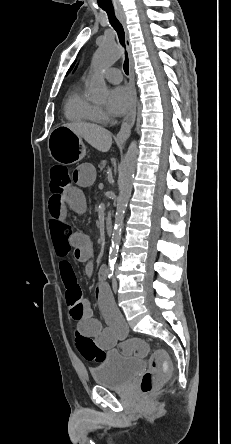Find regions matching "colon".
<instances>
[{
  "instance_id": "5ec220e1",
  "label": "colon",
  "mask_w": 231,
  "mask_h": 444,
  "mask_svg": "<svg viewBox=\"0 0 231 444\" xmlns=\"http://www.w3.org/2000/svg\"><path fill=\"white\" fill-rule=\"evenodd\" d=\"M72 180L69 170L63 165H54L50 169V191L54 198L62 197L71 186ZM75 345L81 356L87 361L101 362L106 353L99 348L92 338L77 332ZM124 347L127 351L138 355L146 356L149 353L148 344L139 338L126 340ZM170 374V361L167 354L162 350H155L151 353L149 368L140 379L139 387L142 393L148 394L162 384Z\"/></svg>"
}]
</instances>
